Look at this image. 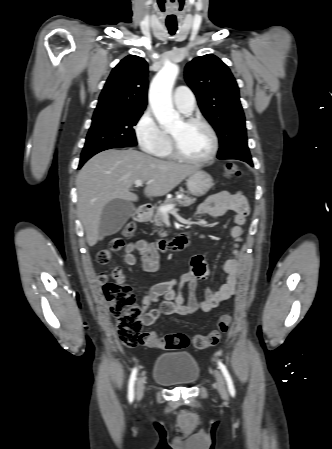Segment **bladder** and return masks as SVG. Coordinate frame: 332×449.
Segmentation results:
<instances>
[{
  "mask_svg": "<svg viewBox=\"0 0 332 449\" xmlns=\"http://www.w3.org/2000/svg\"><path fill=\"white\" fill-rule=\"evenodd\" d=\"M199 376V363L190 352L163 353L154 364L153 380L165 386L191 385Z\"/></svg>",
  "mask_w": 332,
  "mask_h": 449,
  "instance_id": "31cf9c89",
  "label": "bladder"
}]
</instances>
